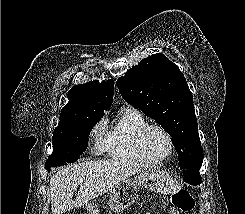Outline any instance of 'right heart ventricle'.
<instances>
[{
  "label": "right heart ventricle",
  "mask_w": 245,
  "mask_h": 214,
  "mask_svg": "<svg viewBox=\"0 0 245 214\" xmlns=\"http://www.w3.org/2000/svg\"><path fill=\"white\" fill-rule=\"evenodd\" d=\"M148 124L143 114L133 107H123L107 129L102 140L105 153L114 160L145 164L135 148V135Z\"/></svg>",
  "instance_id": "right-heart-ventricle-1"
}]
</instances>
